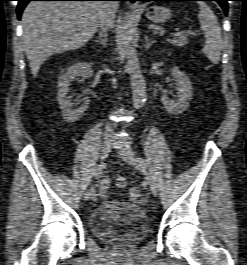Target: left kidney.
I'll return each instance as SVG.
<instances>
[{
  "label": "left kidney",
  "instance_id": "obj_1",
  "mask_svg": "<svg viewBox=\"0 0 247 265\" xmlns=\"http://www.w3.org/2000/svg\"><path fill=\"white\" fill-rule=\"evenodd\" d=\"M171 73L176 82L178 98L174 101L169 99L167 95H163L161 101L168 113L177 115L189 107L193 95V88L189 77L180 71L178 67H173Z\"/></svg>",
  "mask_w": 247,
  "mask_h": 265
}]
</instances>
